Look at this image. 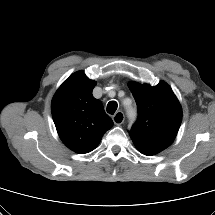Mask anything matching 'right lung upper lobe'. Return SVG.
Masks as SVG:
<instances>
[{
  "mask_svg": "<svg viewBox=\"0 0 215 215\" xmlns=\"http://www.w3.org/2000/svg\"><path fill=\"white\" fill-rule=\"evenodd\" d=\"M95 85V81L78 71L59 87L52 99L51 111L59 137L80 154L96 148L113 126L102 103L92 95Z\"/></svg>",
  "mask_w": 215,
  "mask_h": 215,
  "instance_id": "1",
  "label": "right lung upper lobe"
}]
</instances>
